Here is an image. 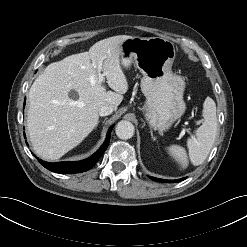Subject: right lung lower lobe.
Wrapping results in <instances>:
<instances>
[{
  "mask_svg": "<svg viewBox=\"0 0 247 247\" xmlns=\"http://www.w3.org/2000/svg\"><path fill=\"white\" fill-rule=\"evenodd\" d=\"M112 128L113 126H111L110 129L108 130L106 140L104 141L100 149L95 154H93L91 157L85 160L78 161V162H58V163H48L41 159H38V161L45 168L55 173L71 174V173L85 172L91 169L95 165V163L99 160V158L103 155V153L105 152L109 144V141H110V135H111ZM24 137H25V134H24Z\"/></svg>",
  "mask_w": 247,
  "mask_h": 247,
  "instance_id": "98d812e1",
  "label": "right lung lower lobe"
}]
</instances>
